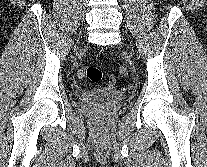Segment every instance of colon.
I'll list each match as a JSON object with an SVG mask.
<instances>
[{
    "label": "colon",
    "instance_id": "obj_1",
    "mask_svg": "<svg viewBox=\"0 0 207 167\" xmlns=\"http://www.w3.org/2000/svg\"><path fill=\"white\" fill-rule=\"evenodd\" d=\"M128 74H129V71L127 68L125 67L119 68L118 75L120 77H126L128 76ZM78 77L80 79H88L92 82H98L102 78V72L98 67L87 66V67L81 68L78 71ZM116 83H117V78L115 76H110L107 80V84L109 87L115 86Z\"/></svg>",
    "mask_w": 207,
    "mask_h": 167
}]
</instances>
